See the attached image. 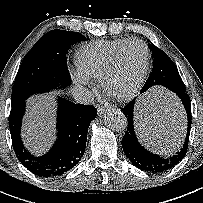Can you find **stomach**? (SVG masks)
<instances>
[{
	"mask_svg": "<svg viewBox=\"0 0 203 203\" xmlns=\"http://www.w3.org/2000/svg\"><path fill=\"white\" fill-rule=\"evenodd\" d=\"M152 101H153V100H152L151 96H148V97H147V100H143V103H142L141 107L144 108V109H148V110H149V107H151V102H152ZM172 101L176 102V100L173 99V98H172ZM153 103H154V106H155L156 108L159 107L158 104H156L154 101H153Z\"/></svg>",
	"mask_w": 203,
	"mask_h": 203,
	"instance_id": "1",
	"label": "stomach"
}]
</instances>
